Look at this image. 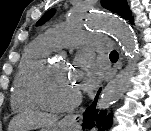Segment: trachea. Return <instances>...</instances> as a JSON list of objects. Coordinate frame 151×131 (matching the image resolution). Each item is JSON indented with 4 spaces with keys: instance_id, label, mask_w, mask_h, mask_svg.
I'll return each instance as SVG.
<instances>
[{
    "instance_id": "3493384b",
    "label": "trachea",
    "mask_w": 151,
    "mask_h": 131,
    "mask_svg": "<svg viewBox=\"0 0 151 131\" xmlns=\"http://www.w3.org/2000/svg\"><path fill=\"white\" fill-rule=\"evenodd\" d=\"M110 57H111V58H118V53H117V51L113 50V51L110 53Z\"/></svg>"
}]
</instances>
